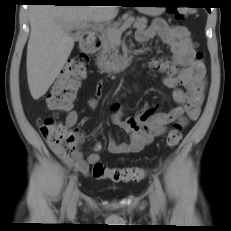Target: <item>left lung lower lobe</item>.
Returning a JSON list of instances; mask_svg holds the SVG:
<instances>
[{
  "label": "left lung lower lobe",
  "mask_w": 231,
  "mask_h": 231,
  "mask_svg": "<svg viewBox=\"0 0 231 231\" xmlns=\"http://www.w3.org/2000/svg\"><path fill=\"white\" fill-rule=\"evenodd\" d=\"M206 9L210 12V8L209 7H207Z\"/></svg>",
  "instance_id": "1"
}]
</instances>
